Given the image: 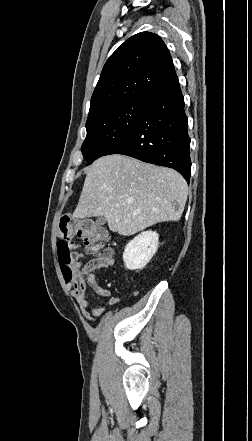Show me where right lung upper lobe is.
<instances>
[{
    "instance_id": "right-lung-upper-lobe-1",
    "label": "right lung upper lobe",
    "mask_w": 252,
    "mask_h": 441,
    "mask_svg": "<svg viewBox=\"0 0 252 441\" xmlns=\"http://www.w3.org/2000/svg\"><path fill=\"white\" fill-rule=\"evenodd\" d=\"M176 75L162 39L141 32L126 40L105 63L88 117L111 106L143 98Z\"/></svg>"
}]
</instances>
